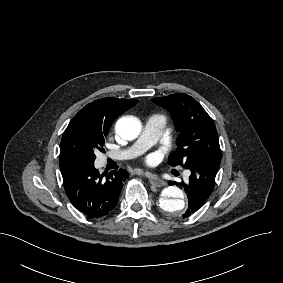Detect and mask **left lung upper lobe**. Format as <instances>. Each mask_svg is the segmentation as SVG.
<instances>
[{
    "label": "left lung upper lobe",
    "instance_id": "1",
    "mask_svg": "<svg viewBox=\"0 0 283 283\" xmlns=\"http://www.w3.org/2000/svg\"><path fill=\"white\" fill-rule=\"evenodd\" d=\"M153 102L171 112L179 132L177 149L169 156V165L189 169L202 161H221L216 127L198 102L184 93L154 98Z\"/></svg>",
    "mask_w": 283,
    "mask_h": 283
}]
</instances>
